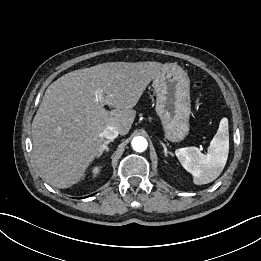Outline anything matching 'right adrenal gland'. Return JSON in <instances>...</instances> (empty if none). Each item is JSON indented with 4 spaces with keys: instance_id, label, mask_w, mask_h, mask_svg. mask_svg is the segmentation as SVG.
Here are the masks:
<instances>
[{
    "instance_id": "right-adrenal-gland-1",
    "label": "right adrenal gland",
    "mask_w": 261,
    "mask_h": 261,
    "mask_svg": "<svg viewBox=\"0 0 261 261\" xmlns=\"http://www.w3.org/2000/svg\"><path fill=\"white\" fill-rule=\"evenodd\" d=\"M110 142H113V140H107L104 142L103 148H102L101 152L99 153L98 158L101 157L104 152L108 153V151H109L108 144Z\"/></svg>"
}]
</instances>
